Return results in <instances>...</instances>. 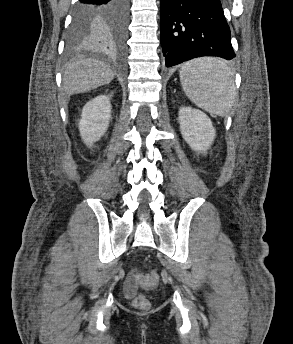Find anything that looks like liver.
<instances>
[{
    "label": "liver",
    "mask_w": 293,
    "mask_h": 344,
    "mask_svg": "<svg viewBox=\"0 0 293 344\" xmlns=\"http://www.w3.org/2000/svg\"><path fill=\"white\" fill-rule=\"evenodd\" d=\"M114 76L110 67L99 60L78 59L66 67L63 89L69 95L85 93L109 84Z\"/></svg>",
    "instance_id": "6515ba94"
}]
</instances>
